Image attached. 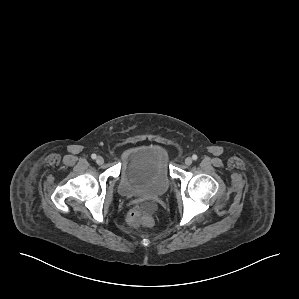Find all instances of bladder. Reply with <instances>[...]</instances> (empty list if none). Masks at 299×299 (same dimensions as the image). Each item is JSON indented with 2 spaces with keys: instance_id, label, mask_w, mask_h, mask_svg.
Instances as JSON below:
<instances>
[{
  "instance_id": "31cf9c89",
  "label": "bladder",
  "mask_w": 299,
  "mask_h": 299,
  "mask_svg": "<svg viewBox=\"0 0 299 299\" xmlns=\"http://www.w3.org/2000/svg\"><path fill=\"white\" fill-rule=\"evenodd\" d=\"M170 186L166 155L156 144L131 148L121 169L118 190L125 197H158Z\"/></svg>"
}]
</instances>
